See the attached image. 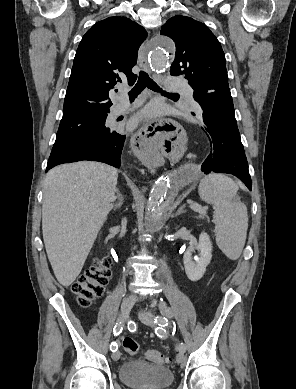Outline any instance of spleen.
<instances>
[{"label":"spleen","instance_id":"spleen-1","mask_svg":"<svg viewBox=\"0 0 296 389\" xmlns=\"http://www.w3.org/2000/svg\"><path fill=\"white\" fill-rule=\"evenodd\" d=\"M238 185L228 176L212 173L198 187L200 197L214 206L216 243L231 260L243 250L248 229L247 208L237 197Z\"/></svg>","mask_w":296,"mask_h":389}]
</instances>
